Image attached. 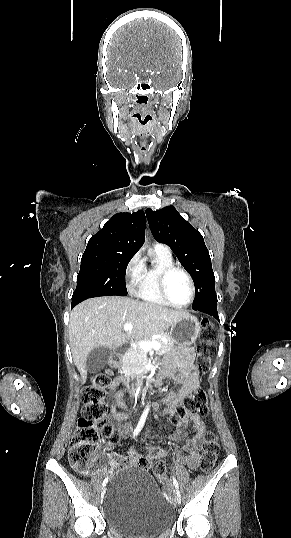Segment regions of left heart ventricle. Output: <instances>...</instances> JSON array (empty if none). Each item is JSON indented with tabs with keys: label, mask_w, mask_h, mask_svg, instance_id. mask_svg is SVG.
Listing matches in <instances>:
<instances>
[{
	"label": "left heart ventricle",
	"mask_w": 291,
	"mask_h": 538,
	"mask_svg": "<svg viewBox=\"0 0 291 538\" xmlns=\"http://www.w3.org/2000/svg\"><path fill=\"white\" fill-rule=\"evenodd\" d=\"M167 290L171 300L178 304L186 303L190 297L189 283L181 272H174L169 276Z\"/></svg>",
	"instance_id": "b2bd125f"
}]
</instances>
